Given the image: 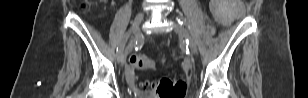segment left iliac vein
<instances>
[{
  "instance_id": "1",
  "label": "left iliac vein",
  "mask_w": 308,
  "mask_h": 98,
  "mask_svg": "<svg viewBox=\"0 0 308 98\" xmlns=\"http://www.w3.org/2000/svg\"><path fill=\"white\" fill-rule=\"evenodd\" d=\"M173 27L177 34L181 35L182 37H184L185 39L189 41L192 52L195 55H197L198 54L197 46H196L194 38L189 33V31L184 26H181V25H174Z\"/></svg>"
}]
</instances>
